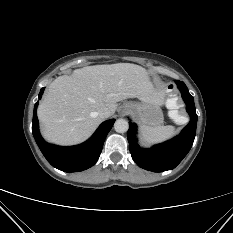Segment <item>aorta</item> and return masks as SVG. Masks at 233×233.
Wrapping results in <instances>:
<instances>
[{"instance_id": "1", "label": "aorta", "mask_w": 233, "mask_h": 233, "mask_svg": "<svg viewBox=\"0 0 233 233\" xmlns=\"http://www.w3.org/2000/svg\"><path fill=\"white\" fill-rule=\"evenodd\" d=\"M129 124L128 121L125 119H118L114 123V129L118 133H124L128 130Z\"/></svg>"}]
</instances>
